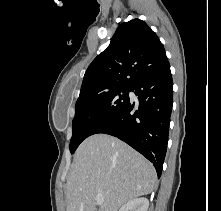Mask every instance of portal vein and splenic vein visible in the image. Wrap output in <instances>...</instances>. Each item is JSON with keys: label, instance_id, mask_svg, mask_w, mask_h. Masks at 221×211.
Segmentation results:
<instances>
[{"label": "portal vein and splenic vein", "instance_id": "18ae733b", "mask_svg": "<svg viewBox=\"0 0 221 211\" xmlns=\"http://www.w3.org/2000/svg\"><path fill=\"white\" fill-rule=\"evenodd\" d=\"M96 202H97L98 205L103 204V202H104V197H103L102 195H97V196H96Z\"/></svg>", "mask_w": 221, "mask_h": 211}]
</instances>
